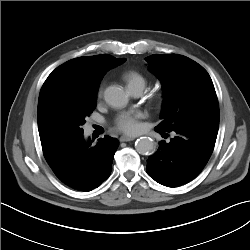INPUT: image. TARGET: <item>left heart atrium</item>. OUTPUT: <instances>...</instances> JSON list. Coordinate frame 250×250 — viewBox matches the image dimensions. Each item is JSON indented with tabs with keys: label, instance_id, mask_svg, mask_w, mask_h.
Segmentation results:
<instances>
[{
	"label": "left heart atrium",
	"instance_id": "obj_1",
	"mask_svg": "<svg viewBox=\"0 0 250 250\" xmlns=\"http://www.w3.org/2000/svg\"><path fill=\"white\" fill-rule=\"evenodd\" d=\"M142 118V114L139 112H126L120 114L115 121L118 130L134 135L141 129L139 120Z\"/></svg>",
	"mask_w": 250,
	"mask_h": 250
}]
</instances>
